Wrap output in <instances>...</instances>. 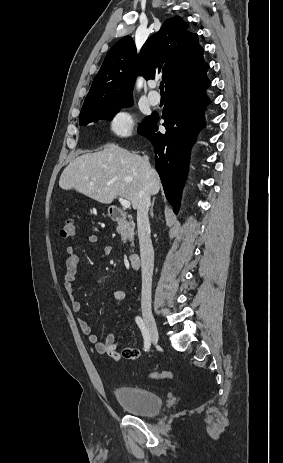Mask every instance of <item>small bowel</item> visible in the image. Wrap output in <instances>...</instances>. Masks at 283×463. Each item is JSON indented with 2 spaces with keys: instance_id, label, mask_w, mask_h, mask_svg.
I'll use <instances>...</instances> for the list:
<instances>
[{
  "instance_id": "obj_1",
  "label": "small bowel",
  "mask_w": 283,
  "mask_h": 463,
  "mask_svg": "<svg viewBox=\"0 0 283 463\" xmlns=\"http://www.w3.org/2000/svg\"><path fill=\"white\" fill-rule=\"evenodd\" d=\"M90 243L100 245L101 240L97 235L91 234L88 237ZM111 254L110 246H103L101 258H106ZM79 264V256L72 245L66 247V273L64 278V290L70 298V305L73 312L77 313L81 309L80 301L74 297V280ZM111 295L116 301H123L126 298V293L123 290H112ZM78 324L81 331L87 336V340L92 344L98 354H105L111 357L114 361H119L121 358L134 361L139 357V351L133 347H126L121 352L117 350L118 340L114 333L108 334L104 340H99L98 336L91 331L90 325L83 319H78Z\"/></svg>"
}]
</instances>
